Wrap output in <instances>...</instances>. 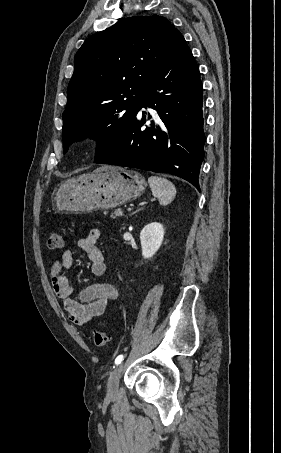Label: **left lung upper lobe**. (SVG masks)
Returning a JSON list of instances; mask_svg holds the SVG:
<instances>
[{
    "label": "left lung upper lobe",
    "instance_id": "left-lung-upper-lobe-1",
    "mask_svg": "<svg viewBox=\"0 0 281 453\" xmlns=\"http://www.w3.org/2000/svg\"><path fill=\"white\" fill-rule=\"evenodd\" d=\"M178 34L162 16H132L85 40L67 90L64 153L91 137L98 141L96 162L117 143Z\"/></svg>",
    "mask_w": 281,
    "mask_h": 453
}]
</instances>
